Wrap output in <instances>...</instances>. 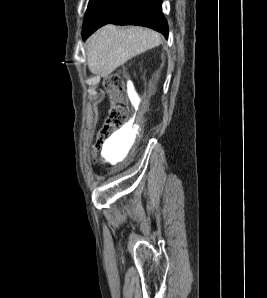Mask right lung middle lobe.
<instances>
[{"label":"right lung middle lobe","mask_w":267,"mask_h":298,"mask_svg":"<svg viewBox=\"0 0 267 298\" xmlns=\"http://www.w3.org/2000/svg\"><path fill=\"white\" fill-rule=\"evenodd\" d=\"M107 0H90L86 11L84 23L90 22L99 12Z\"/></svg>","instance_id":"right-lung-middle-lobe-1"}]
</instances>
